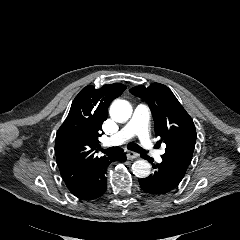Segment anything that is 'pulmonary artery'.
Returning <instances> with one entry per match:
<instances>
[{"instance_id":"e3ab8cb5","label":"pulmonary artery","mask_w":240,"mask_h":240,"mask_svg":"<svg viewBox=\"0 0 240 240\" xmlns=\"http://www.w3.org/2000/svg\"><path fill=\"white\" fill-rule=\"evenodd\" d=\"M149 108L139 104L129 122L110 138L111 144H121L133 136H137L142 147L153 157H159L161 152L155 149L149 132Z\"/></svg>"}]
</instances>
